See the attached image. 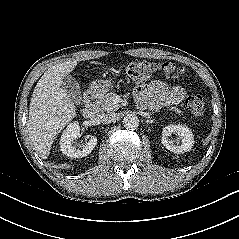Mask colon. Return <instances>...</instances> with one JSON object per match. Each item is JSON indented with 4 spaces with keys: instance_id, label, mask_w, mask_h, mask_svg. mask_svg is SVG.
I'll list each match as a JSON object with an SVG mask.
<instances>
[{
    "instance_id": "obj_1",
    "label": "colon",
    "mask_w": 239,
    "mask_h": 239,
    "mask_svg": "<svg viewBox=\"0 0 239 239\" xmlns=\"http://www.w3.org/2000/svg\"><path fill=\"white\" fill-rule=\"evenodd\" d=\"M155 73H162L169 78L178 79L184 74V69L170 62L155 63L150 61L132 62L127 67L128 77L136 83L146 81ZM185 104L194 116H202L205 112L204 99L199 94L188 96Z\"/></svg>"
}]
</instances>
